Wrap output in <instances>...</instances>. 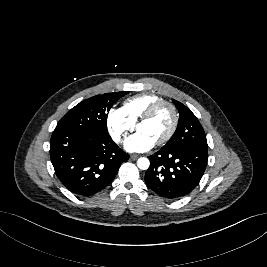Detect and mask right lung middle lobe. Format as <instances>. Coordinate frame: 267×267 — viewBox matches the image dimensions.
Masks as SVG:
<instances>
[{"mask_svg":"<svg viewBox=\"0 0 267 267\" xmlns=\"http://www.w3.org/2000/svg\"><path fill=\"white\" fill-rule=\"evenodd\" d=\"M128 91L106 93L86 99L73 107L58 122L56 131L102 132L107 130V113L112 105Z\"/></svg>","mask_w":267,"mask_h":267,"instance_id":"1","label":"right lung middle lobe"}]
</instances>
